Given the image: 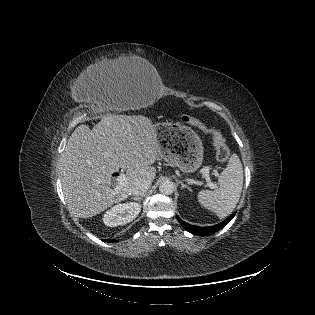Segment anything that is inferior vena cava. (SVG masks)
Wrapping results in <instances>:
<instances>
[{
	"label": "inferior vena cava",
	"mask_w": 315,
	"mask_h": 315,
	"mask_svg": "<svg viewBox=\"0 0 315 315\" xmlns=\"http://www.w3.org/2000/svg\"><path fill=\"white\" fill-rule=\"evenodd\" d=\"M151 186V181L150 180H142L138 183H136L132 189H131V194L133 196L139 197L144 195L147 190L150 188Z\"/></svg>",
	"instance_id": "602c4592"
}]
</instances>
